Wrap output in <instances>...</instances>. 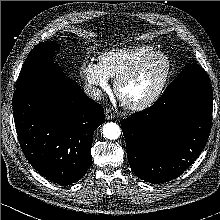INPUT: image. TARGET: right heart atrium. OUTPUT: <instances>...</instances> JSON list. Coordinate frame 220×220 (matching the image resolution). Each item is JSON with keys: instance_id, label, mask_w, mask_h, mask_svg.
I'll return each instance as SVG.
<instances>
[{"instance_id": "obj_1", "label": "right heart atrium", "mask_w": 220, "mask_h": 220, "mask_svg": "<svg viewBox=\"0 0 220 220\" xmlns=\"http://www.w3.org/2000/svg\"><path fill=\"white\" fill-rule=\"evenodd\" d=\"M82 74L87 83L95 90H106L109 86V77L94 61H87L83 64Z\"/></svg>"}]
</instances>
